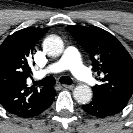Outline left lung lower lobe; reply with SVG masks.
I'll return each instance as SVG.
<instances>
[{"label": "left lung lower lobe", "instance_id": "0a47b994", "mask_svg": "<svg viewBox=\"0 0 133 133\" xmlns=\"http://www.w3.org/2000/svg\"><path fill=\"white\" fill-rule=\"evenodd\" d=\"M122 109L123 107L121 106L102 101L97 97H93V100L89 104L83 106V110L87 114L100 118L115 115L122 111Z\"/></svg>", "mask_w": 133, "mask_h": 133}]
</instances>
